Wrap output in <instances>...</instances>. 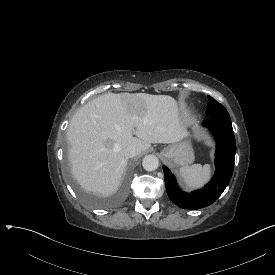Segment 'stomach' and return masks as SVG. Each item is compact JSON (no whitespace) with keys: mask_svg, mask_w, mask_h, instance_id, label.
Wrapping results in <instances>:
<instances>
[{"mask_svg":"<svg viewBox=\"0 0 275 275\" xmlns=\"http://www.w3.org/2000/svg\"><path fill=\"white\" fill-rule=\"evenodd\" d=\"M161 154L175 168L191 165L195 160L191 132L188 130L183 139L166 147Z\"/></svg>","mask_w":275,"mask_h":275,"instance_id":"0dacf381","label":"stomach"}]
</instances>
